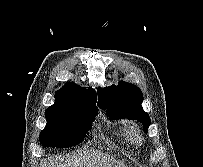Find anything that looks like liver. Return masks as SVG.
I'll use <instances>...</instances> for the list:
<instances>
[{"label":"liver","instance_id":"1","mask_svg":"<svg viewBox=\"0 0 203 167\" xmlns=\"http://www.w3.org/2000/svg\"><path fill=\"white\" fill-rule=\"evenodd\" d=\"M55 160L48 158L43 160L40 167H55ZM57 167H124V165L115 161H110L101 153H84L76 156L74 159L66 160L65 164Z\"/></svg>","mask_w":203,"mask_h":167}]
</instances>
